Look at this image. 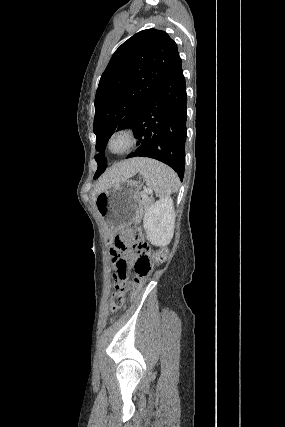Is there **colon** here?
Masks as SVG:
<instances>
[{
    "instance_id": "5ec220e1",
    "label": "colon",
    "mask_w": 285,
    "mask_h": 427,
    "mask_svg": "<svg viewBox=\"0 0 285 427\" xmlns=\"http://www.w3.org/2000/svg\"><path fill=\"white\" fill-rule=\"evenodd\" d=\"M126 186H129V184H126ZM127 251L137 253V257L132 264L135 277L133 282L128 281L126 270L129 265L126 261L119 260L115 263L117 274L114 275L115 293L111 299L112 312L119 311L123 308L125 294L129 287H131L133 292H136L138 287L146 282L152 270V263L156 262L161 264L165 262L168 254L167 249L164 247L152 253L149 245L142 240L139 228L126 231L115 238L113 254L120 255Z\"/></svg>"
}]
</instances>
